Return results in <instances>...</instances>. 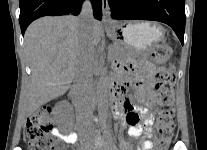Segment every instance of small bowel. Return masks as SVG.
<instances>
[{"label":"small bowel","instance_id":"obj_1","mask_svg":"<svg viewBox=\"0 0 207 150\" xmlns=\"http://www.w3.org/2000/svg\"><path fill=\"white\" fill-rule=\"evenodd\" d=\"M118 70L126 74L127 77L124 81L115 83V101L112 105L114 117L122 125H128V133L132 138L141 140V146L138 150H151L153 144L146 139L151 130L149 127L144 129V125L148 126L149 110L156 103V96L152 89L155 68L151 63L144 61L138 63L122 62L118 64ZM132 79H134L137 88L136 98L142 106L134 105L123 97ZM53 133L65 143L74 144L78 140L75 132L65 134L54 129Z\"/></svg>","mask_w":207,"mask_h":150}]
</instances>
